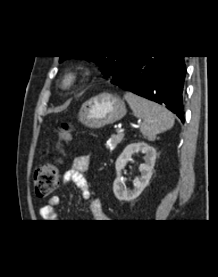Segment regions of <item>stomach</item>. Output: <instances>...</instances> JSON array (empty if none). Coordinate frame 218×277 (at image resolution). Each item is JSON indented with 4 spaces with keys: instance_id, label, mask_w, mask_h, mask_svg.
<instances>
[{
    "instance_id": "0dacf381",
    "label": "stomach",
    "mask_w": 218,
    "mask_h": 277,
    "mask_svg": "<svg viewBox=\"0 0 218 277\" xmlns=\"http://www.w3.org/2000/svg\"><path fill=\"white\" fill-rule=\"evenodd\" d=\"M123 100L110 93H101L84 102L78 120L92 129H99L122 119L126 115Z\"/></svg>"
}]
</instances>
